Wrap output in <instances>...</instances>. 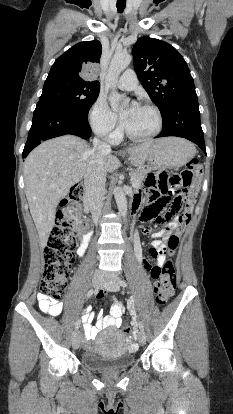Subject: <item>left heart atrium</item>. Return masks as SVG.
Segmentation results:
<instances>
[{
	"label": "left heart atrium",
	"mask_w": 233,
	"mask_h": 414,
	"mask_svg": "<svg viewBox=\"0 0 233 414\" xmlns=\"http://www.w3.org/2000/svg\"><path fill=\"white\" fill-rule=\"evenodd\" d=\"M113 101H115V97L112 98ZM137 104L136 103H132L131 106L127 109L126 113L134 110L135 108H137Z\"/></svg>",
	"instance_id": "obj_1"
}]
</instances>
